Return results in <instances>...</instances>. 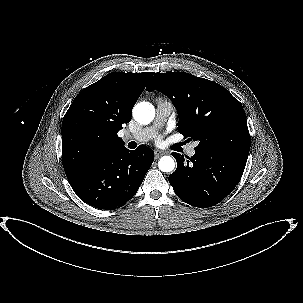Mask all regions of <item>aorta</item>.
Returning <instances> with one entry per match:
<instances>
[{"mask_svg": "<svg viewBox=\"0 0 303 303\" xmlns=\"http://www.w3.org/2000/svg\"><path fill=\"white\" fill-rule=\"evenodd\" d=\"M133 117L140 124L151 123L155 117L154 106L149 102L136 104L133 108ZM158 167L162 172H172L175 168L174 159L171 156H163L158 162Z\"/></svg>", "mask_w": 303, "mask_h": 303, "instance_id": "1", "label": "aorta"}]
</instances>
